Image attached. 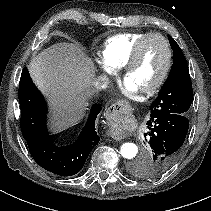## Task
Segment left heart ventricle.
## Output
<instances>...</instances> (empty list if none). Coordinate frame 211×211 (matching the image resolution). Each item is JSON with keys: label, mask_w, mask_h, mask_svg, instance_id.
<instances>
[{"label": "left heart ventricle", "mask_w": 211, "mask_h": 211, "mask_svg": "<svg viewBox=\"0 0 211 211\" xmlns=\"http://www.w3.org/2000/svg\"><path fill=\"white\" fill-rule=\"evenodd\" d=\"M166 56L163 42L158 38L149 39L143 45L127 79L140 91L149 88L160 77L166 64Z\"/></svg>", "instance_id": "1"}]
</instances>
